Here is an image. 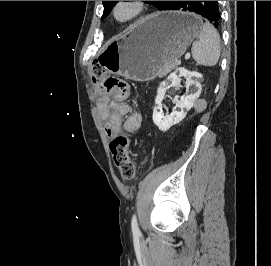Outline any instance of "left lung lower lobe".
Wrapping results in <instances>:
<instances>
[{
    "mask_svg": "<svg viewBox=\"0 0 271 266\" xmlns=\"http://www.w3.org/2000/svg\"><path fill=\"white\" fill-rule=\"evenodd\" d=\"M180 9L201 15L216 28L220 26L221 17L218 1H171L163 10Z\"/></svg>",
    "mask_w": 271,
    "mask_h": 266,
    "instance_id": "0a47b994",
    "label": "left lung lower lobe"
}]
</instances>
